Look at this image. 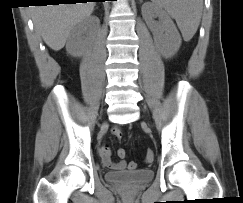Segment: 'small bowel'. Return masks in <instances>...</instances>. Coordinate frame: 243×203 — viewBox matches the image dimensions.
<instances>
[{
    "mask_svg": "<svg viewBox=\"0 0 243 203\" xmlns=\"http://www.w3.org/2000/svg\"><path fill=\"white\" fill-rule=\"evenodd\" d=\"M112 134L120 137L121 136V130L118 127H114L112 129ZM120 150V149H119ZM119 150H118V156L121 158L120 161L118 162H113L111 160V149L110 146L108 144H103L100 147V157H101V161L102 164L110 169H114V170H123L126 167V163L123 160L125 156H121L119 154Z\"/></svg>",
    "mask_w": 243,
    "mask_h": 203,
    "instance_id": "obj_1",
    "label": "small bowel"
}]
</instances>
